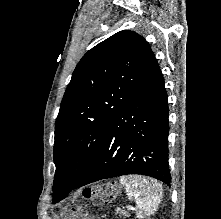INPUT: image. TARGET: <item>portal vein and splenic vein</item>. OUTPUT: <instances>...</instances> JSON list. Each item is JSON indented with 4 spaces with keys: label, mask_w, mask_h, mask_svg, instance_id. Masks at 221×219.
Instances as JSON below:
<instances>
[{
    "label": "portal vein and splenic vein",
    "mask_w": 221,
    "mask_h": 219,
    "mask_svg": "<svg viewBox=\"0 0 221 219\" xmlns=\"http://www.w3.org/2000/svg\"><path fill=\"white\" fill-rule=\"evenodd\" d=\"M128 209H129V210H134L135 208H133L132 206L129 205V206H128Z\"/></svg>",
    "instance_id": "obj_1"
}]
</instances>
